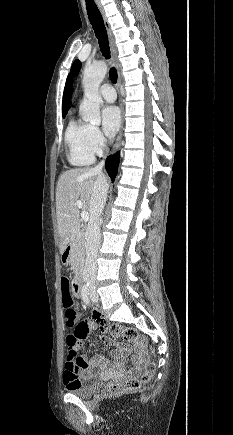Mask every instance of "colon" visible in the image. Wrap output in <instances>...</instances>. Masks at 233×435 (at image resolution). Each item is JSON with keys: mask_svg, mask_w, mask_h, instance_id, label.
<instances>
[{"mask_svg": "<svg viewBox=\"0 0 233 435\" xmlns=\"http://www.w3.org/2000/svg\"><path fill=\"white\" fill-rule=\"evenodd\" d=\"M62 280L64 283H68V275L64 274L62 276ZM63 304L65 306V323L68 327H73L80 318L77 310L74 307V298L71 295H65L63 297ZM110 333L115 337H122L125 341L128 342L134 341L138 337V333L134 328L124 327L121 325H113L110 328ZM67 357L70 361L75 362L76 364H82V359L78 355L75 341L72 339L67 340ZM154 371L155 365L152 361H149L145 367L141 380L136 378H128L121 382H113L108 384L104 388L103 392L106 396L109 397L127 394L132 390L139 388L141 383L149 382L154 375Z\"/></svg>", "mask_w": 233, "mask_h": 435, "instance_id": "5ec220e1", "label": "colon"}]
</instances>
